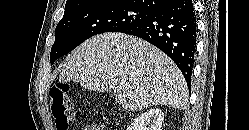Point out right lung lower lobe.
<instances>
[{
  "label": "right lung lower lobe",
  "mask_w": 249,
  "mask_h": 130,
  "mask_svg": "<svg viewBox=\"0 0 249 130\" xmlns=\"http://www.w3.org/2000/svg\"><path fill=\"white\" fill-rule=\"evenodd\" d=\"M120 32L140 37L166 53L191 86L196 51V16L191 0H168L151 15Z\"/></svg>",
  "instance_id": "1"
}]
</instances>
